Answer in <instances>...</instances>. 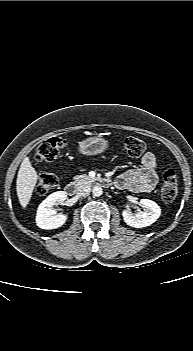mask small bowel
<instances>
[{"label": "small bowel", "instance_id": "1", "mask_svg": "<svg viewBox=\"0 0 193 351\" xmlns=\"http://www.w3.org/2000/svg\"><path fill=\"white\" fill-rule=\"evenodd\" d=\"M158 161L152 152H147L141 159V166L120 175L117 184L134 193H150L157 184Z\"/></svg>", "mask_w": 193, "mask_h": 351}]
</instances>
